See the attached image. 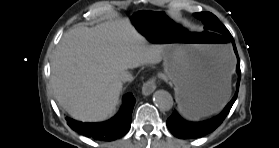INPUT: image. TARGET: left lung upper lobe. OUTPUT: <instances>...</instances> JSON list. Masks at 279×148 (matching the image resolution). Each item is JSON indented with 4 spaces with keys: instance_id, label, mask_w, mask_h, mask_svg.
I'll use <instances>...</instances> for the list:
<instances>
[{
    "instance_id": "left-lung-upper-lobe-1",
    "label": "left lung upper lobe",
    "mask_w": 279,
    "mask_h": 148,
    "mask_svg": "<svg viewBox=\"0 0 279 148\" xmlns=\"http://www.w3.org/2000/svg\"><path fill=\"white\" fill-rule=\"evenodd\" d=\"M196 17L200 18L204 23V28L210 32L229 35L228 29L219 21V19L210 12H200L195 14Z\"/></svg>"
}]
</instances>
